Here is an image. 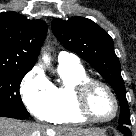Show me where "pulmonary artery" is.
<instances>
[{
  "label": "pulmonary artery",
  "instance_id": "e3ab8cb5",
  "mask_svg": "<svg viewBox=\"0 0 136 136\" xmlns=\"http://www.w3.org/2000/svg\"><path fill=\"white\" fill-rule=\"evenodd\" d=\"M58 62L59 64H64V63H67V64H79V60L78 58L74 55V54H71V53H68V52H61L59 53L58 55Z\"/></svg>",
  "mask_w": 136,
  "mask_h": 136
}]
</instances>
